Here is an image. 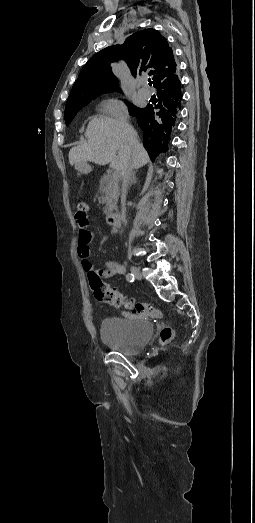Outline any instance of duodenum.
Wrapping results in <instances>:
<instances>
[{"instance_id": "410a0bca", "label": "duodenum", "mask_w": 255, "mask_h": 523, "mask_svg": "<svg viewBox=\"0 0 255 523\" xmlns=\"http://www.w3.org/2000/svg\"><path fill=\"white\" fill-rule=\"evenodd\" d=\"M106 220H107L108 225L113 228H117L121 224V217L118 212H112V213L108 214Z\"/></svg>"}]
</instances>
